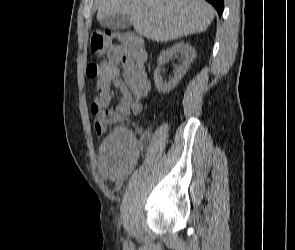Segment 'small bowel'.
<instances>
[{"label": "small bowel", "instance_id": "small-bowel-1", "mask_svg": "<svg viewBox=\"0 0 295 250\" xmlns=\"http://www.w3.org/2000/svg\"><path fill=\"white\" fill-rule=\"evenodd\" d=\"M113 85L121 92L118 109L137 108L140 111L142 101L150 91L146 53L133 54L123 44L113 47L106 68L96 81L94 104L98 108L105 109L114 100ZM132 149L133 141L126 129H117L102 142L100 169L113 183H120L128 174Z\"/></svg>", "mask_w": 295, "mask_h": 250}]
</instances>
